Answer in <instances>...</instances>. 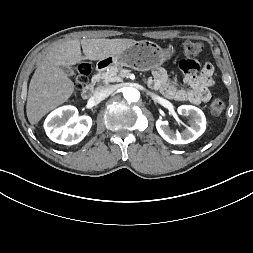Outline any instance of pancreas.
<instances>
[{"instance_id": "obj_1", "label": "pancreas", "mask_w": 253, "mask_h": 253, "mask_svg": "<svg viewBox=\"0 0 253 253\" xmlns=\"http://www.w3.org/2000/svg\"><path fill=\"white\" fill-rule=\"evenodd\" d=\"M121 68L116 66H112L108 69V71L103 72L99 75V79L104 83H112L121 81V76L119 75Z\"/></svg>"}]
</instances>
